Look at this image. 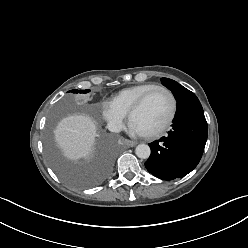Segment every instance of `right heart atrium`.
<instances>
[{
  "mask_svg": "<svg viewBox=\"0 0 248 248\" xmlns=\"http://www.w3.org/2000/svg\"><path fill=\"white\" fill-rule=\"evenodd\" d=\"M102 116L114 130H120L126 119V114L119 110L112 102H106L103 105Z\"/></svg>",
  "mask_w": 248,
  "mask_h": 248,
  "instance_id": "d8ad5b80",
  "label": "right heart atrium"
}]
</instances>
